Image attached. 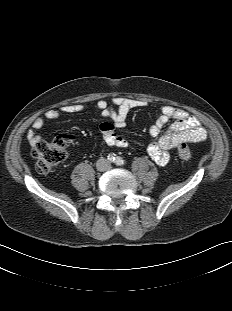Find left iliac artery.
<instances>
[{"label": "left iliac artery", "mask_w": 232, "mask_h": 311, "mask_svg": "<svg viewBox=\"0 0 232 311\" xmlns=\"http://www.w3.org/2000/svg\"><path fill=\"white\" fill-rule=\"evenodd\" d=\"M115 163L116 165L121 166L125 164V161L121 157H116Z\"/></svg>", "instance_id": "44dca946"}]
</instances>
